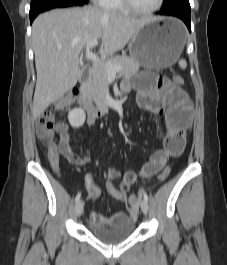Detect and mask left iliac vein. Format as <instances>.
I'll return each instance as SVG.
<instances>
[{
  "instance_id": "1",
  "label": "left iliac vein",
  "mask_w": 227,
  "mask_h": 265,
  "mask_svg": "<svg viewBox=\"0 0 227 265\" xmlns=\"http://www.w3.org/2000/svg\"><path fill=\"white\" fill-rule=\"evenodd\" d=\"M140 207H141V211L144 214H147V212H148V203L144 199L141 201Z\"/></svg>"
}]
</instances>
